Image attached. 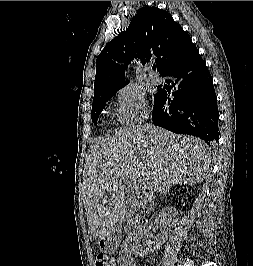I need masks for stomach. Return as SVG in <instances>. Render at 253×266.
I'll return each instance as SVG.
<instances>
[{
    "label": "stomach",
    "mask_w": 253,
    "mask_h": 266,
    "mask_svg": "<svg viewBox=\"0 0 253 266\" xmlns=\"http://www.w3.org/2000/svg\"><path fill=\"white\" fill-rule=\"evenodd\" d=\"M98 244L100 250L104 252H110L118 245L117 241L112 239L111 235L109 234H105L102 238H100Z\"/></svg>",
    "instance_id": "0dacf381"
}]
</instances>
